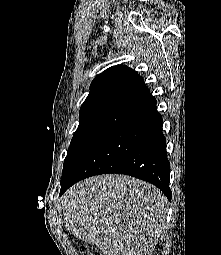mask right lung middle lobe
<instances>
[{
  "instance_id": "right-lung-middle-lobe-1",
  "label": "right lung middle lobe",
  "mask_w": 221,
  "mask_h": 255,
  "mask_svg": "<svg viewBox=\"0 0 221 255\" xmlns=\"http://www.w3.org/2000/svg\"><path fill=\"white\" fill-rule=\"evenodd\" d=\"M117 107H103L80 113L79 126L71 140L63 165L62 179L69 173Z\"/></svg>"
}]
</instances>
